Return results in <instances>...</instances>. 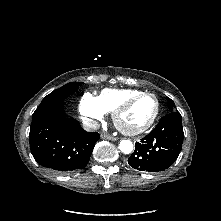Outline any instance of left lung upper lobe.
<instances>
[{
  "instance_id": "obj_1",
  "label": "left lung upper lobe",
  "mask_w": 221,
  "mask_h": 221,
  "mask_svg": "<svg viewBox=\"0 0 221 221\" xmlns=\"http://www.w3.org/2000/svg\"><path fill=\"white\" fill-rule=\"evenodd\" d=\"M167 99H168V101H169V107H170V109L173 110V108L175 107L174 102H173L170 98H167Z\"/></svg>"
}]
</instances>
